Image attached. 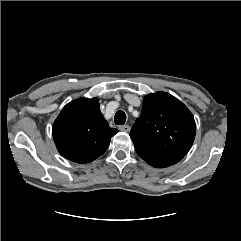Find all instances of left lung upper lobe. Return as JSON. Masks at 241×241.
<instances>
[{"label":"left lung upper lobe","mask_w":241,"mask_h":241,"mask_svg":"<svg viewBox=\"0 0 241 241\" xmlns=\"http://www.w3.org/2000/svg\"><path fill=\"white\" fill-rule=\"evenodd\" d=\"M195 133L194 117L188 108L174 96L157 92L144 98L141 116L136 119L130 137L137 149L184 157Z\"/></svg>","instance_id":"obj_1"}]
</instances>
